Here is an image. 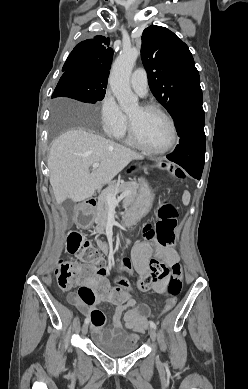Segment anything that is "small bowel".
Here are the masks:
<instances>
[{
  "instance_id": "1",
  "label": "small bowel",
  "mask_w": 248,
  "mask_h": 389,
  "mask_svg": "<svg viewBox=\"0 0 248 389\" xmlns=\"http://www.w3.org/2000/svg\"><path fill=\"white\" fill-rule=\"evenodd\" d=\"M152 253H156L161 260L168 265L178 263L179 256L171 247H163L156 241L141 240L138 241L131 251V261L134 265V271L139 274H145L148 268V259ZM167 281H159L154 284L153 288L158 293H164ZM118 289L126 295V299L121 303H115L103 299L96 300L91 305H99L103 302L116 304L114 314L110 326L106 331L110 334L124 333L133 338L135 342L139 339V333L147 326V316L149 314V306L147 304L137 305L138 298H132L127 292L123 291L122 286L110 287ZM135 291V290H134ZM67 300L70 304L77 307L90 320L91 312L95 309L90 308L79 297L77 292H70L67 295Z\"/></svg>"
}]
</instances>
